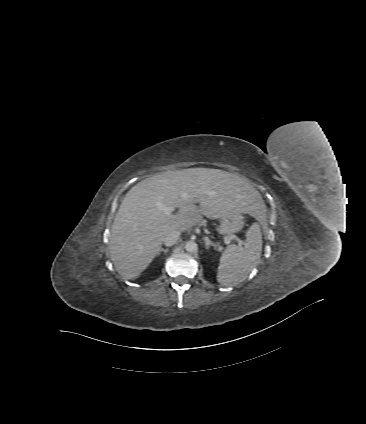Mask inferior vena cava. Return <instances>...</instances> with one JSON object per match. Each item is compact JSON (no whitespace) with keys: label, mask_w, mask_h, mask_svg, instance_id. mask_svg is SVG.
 I'll return each mask as SVG.
<instances>
[{"label":"inferior vena cava","mask_w":366,"mask_h":424,"mask_svg":"<svg viewBox=\"0 0 366 424\" xmlns=\"http://www.w3.org/2000/svg\"><path fill=\"white\" fill-rule=\"evenodd\" d=\"M180 234L181 233L178 230H172V231L168 232L163 239L164 244L166 246L174 245L177 242V240L179 239Z\"/></svg>","instance_id":"obj_1"}]
</instances>
